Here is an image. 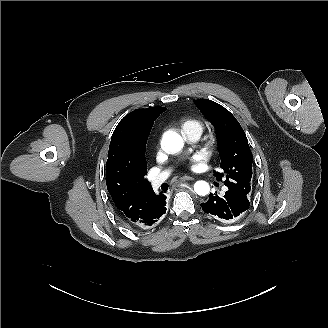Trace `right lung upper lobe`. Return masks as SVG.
Segmentation results:
<instances>
[{
  "instance_id": "obj_1",
  "label": "right lung upper lobe",
  "mask_w": 328,
  "mask_h": 328,
  "mask_svg": "<svg viewBox=\"0 0 328 328\" xmlns=\"http://www.w3.org/2000/svg\"><path fill=\"white\" fill-rule=\"evenodd\" d=\"M165 107L136 109L115 128L108 152L106 184L118 215L129 225L144 218L155 193L145 178L147 162L141 160L134 143V131L146 119H157Z\"/></svg>"
}]
</instances>
